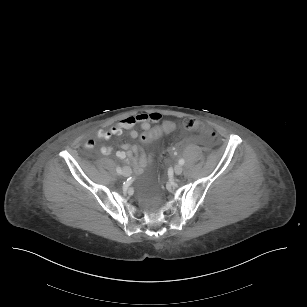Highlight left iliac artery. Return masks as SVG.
Returning <instances> with one entry per match:
<instances>
[{
  "mask_svg": "<svg viewBox=\"0 0 307 307\" xmlns=\"http://www.w3.org/2000/svg\"><path fill=\"white\" fill-rule=\"evenodd\" d=\"M185 163V160L183 159V158H181L180 160H179V164L180 165H183Z\"/></svg>",
  "mask_w": 307,
  "mask_h": 307,
  "instance_id": "1",
  "label": "left iliac artery"
}]
</instances>
